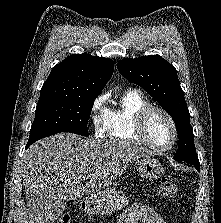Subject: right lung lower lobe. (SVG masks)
Instances as JSON below:
<instances>
[{"label":"right lung lower lobe","mask_w":221,"mask_h":223,"mask_svg":"<svg viewBox=\"0 0 221 223\" xmlns=\"http://www.w3.org/2000/svg\"><path fill=\"white\" fill-rule=\"evenodd\" d=\"M32 143H27V146H26V148H28L30 145H31Z\"/></svg>","instance_id":"98d812e1"}]
</instances>
